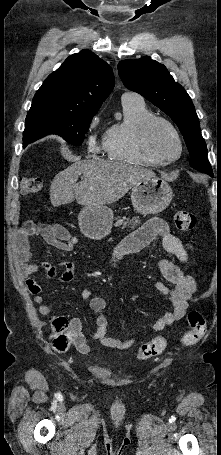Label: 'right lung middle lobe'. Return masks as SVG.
<instances>
[{
  "label": "right lung middle lobe",
  "instance_id": "obj_1",
  "mask_svg": "<svg viewBox=\"0 0 221 455\" xmlns=\"http://www.w3.org/2000/svg\"><path fill=\"white\" fill-rule=\"evenodd\" d=\"M95 114L48 106L31 107L26 117L23 146L48 134L60 135L72 145L80 146Z\"/></svg>",
  "mask_w": 221,
  "mask_h": 455
}]
</instances>
